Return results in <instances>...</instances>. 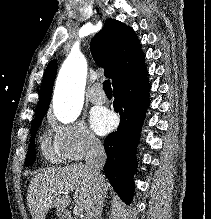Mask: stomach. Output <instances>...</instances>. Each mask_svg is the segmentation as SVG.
<instances>
[{"label":"stomach","instance_id":"1","mask_svg":"<svg viewBox=\"0 0 211 219\" xmlns=\"http://www.w3.org/2000/svg\"><path fill=\"white\" fill-rule=\"evenodd\" d=\"M57 213L60 215V214H61V211L59 210Z\"/></svg>","mask_w":211,"mask_h":219}]
</instances>
